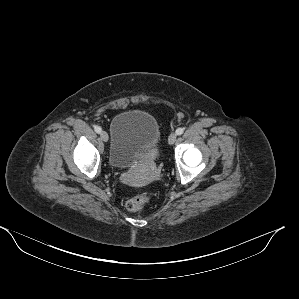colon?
Listing matches in <instances>:
<instances>
[{
    "instance_id": "colon-1",
    "label": "colon",
    "mask_w": 299,
    "mask_h": 299,
    "mask_svg": "<svg viewBox=\"0 0 299 299\" xmlns=\"http://www.w3.org/2000/svg\"><path fill=\"white\" fill-rule=\"evenodd\" d=\"M150 200L149 196L146 195H138L130 198L126 202V208L129 211H138L140 210L148 201Z\"/></svg>"
}]
</instances>
